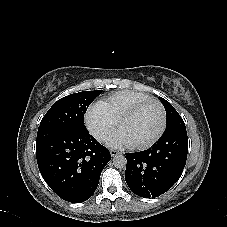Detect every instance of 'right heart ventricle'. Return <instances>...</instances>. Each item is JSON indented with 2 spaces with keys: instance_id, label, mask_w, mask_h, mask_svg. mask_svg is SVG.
<instances>
[{
  "instance_id": "obj_1",
  "label": "right heart ventricle",
  "mask_w": 227,
  "mask_h": 227,
  "mask_svg": "<svg viewBox=\"0 0 227 227\" xmlns=\"http://www.w3.org/2000/svg\"><path fill=\"white\" fill-rule=\"evenodd\" d=\"M149 96L145 93L135 90H122L113 93L99 104L105 113L117 123L118 119L126 113L135 104L148 99Z\"/></svg>"
}]
</instances>
